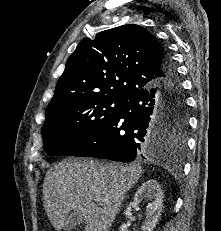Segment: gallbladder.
I'll return each mask as SVG.
<instances>
[{
	"label": "gallbladder",
	"mask_w": 221,
	"mask_h": 231,
	"mask_svg": "<svg viewBox=\"0 0 221 231\" xmlns=\"http://www.w3.org/2000/svg\"><path fill=\"white\" fill-rule=\"evenodd\" d=\"M82 222V215L77 211H73L67 216L63 229L64 231H72V229L77 228Z\"/></svg>",
	"instance_id": "obj_1"
}]
</instances>
